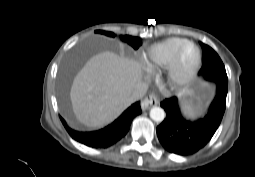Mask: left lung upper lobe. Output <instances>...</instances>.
<instances>
[{
	"label": "left lung upper lobe",
	"instance_id": "left-lung-upper-lobe-1",
	"mask_svg": "<svg viewBox=\"0 0 255 177\" xmlns=\"http://www.w3.org/2000/svg\"><path fill=\"white\" fill-rule=\"evenodd\" d=\"M201 45L203 47V66L200 70V74L207 80L228 82L224 64L218 54L208 45L202 43Z\"/></svg>",
	"mask_w": 255,
	"mask_h": 177
}]
</instances>
